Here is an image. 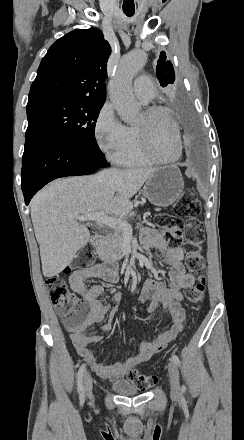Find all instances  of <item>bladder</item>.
I'll list each match as a JSON object with an SVG mask.
<instances>
[{
  "label": "bladder",
  "instance_id": "1",
  "mask_svg": "<svg viewBox=\"0 0 244 440\" xmlns=\"http://www.w3.org/2000/svg\"><path fill=\"white\" fill-rule=\"evenodd\" d=\"M112 384L115 392L119 394H138V389L127 381H115Z\"/></svg>",
  "mask_w": 244,
  "mask_h": 440
}]
</instances>
